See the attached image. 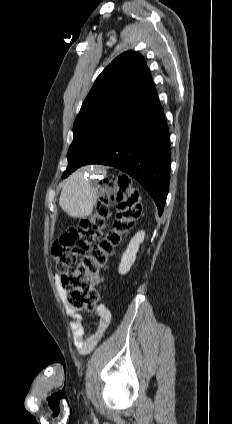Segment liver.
Listing matches in <instances>:
<instances>
[{"instance_id": "6515ba94", "label": "liver", "mask_w": 232, "mask_h": 424, "mask_svg": "<svg viewBox=\"0 0 232 424\" xmlns=\"http://www.w3.org/2000/svg\"><path fill=\"white\" fill-rule=\"evenodd\" d=\"M83 171H93L98 174L106 173L101 166H86L71 174L65 181L59 198V205L64 212L74 218L90 216L97 204V196L90 184L84 180Z\"/></svg>"}]
</instances>
